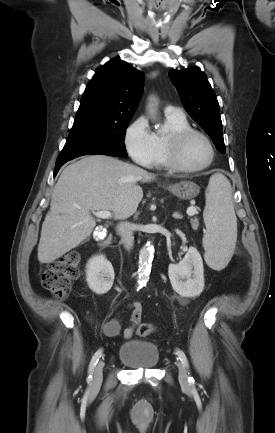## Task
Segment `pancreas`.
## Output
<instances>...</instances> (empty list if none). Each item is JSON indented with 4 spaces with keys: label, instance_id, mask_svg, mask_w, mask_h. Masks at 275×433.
<instances>
[{
    "label": "pancreas",
    "instance_id": "cf45deb5",
    "mask_svg": "<svg viewBox=\"0 0 275 433\" xmlns=\"http://www.w3.org/2000/svg\"><path fill=\"white\" fill-rule=\"evenodd\" d=\"M191 225H192V228L194 229V230H196L197 228H198V220L197 219H191Z\"/></svg>",
    "mask_w": 275,
    "mask_h": 433
}]
</instances>
